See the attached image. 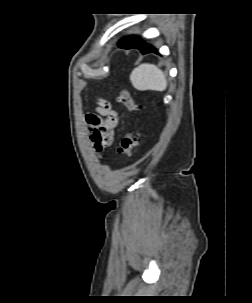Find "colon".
Listing matches in <instances>:
<instances>
[{"label": "colon", "instance_id": "colon-1", "mask_svg": "<svg viewBox=\"0 0 252 303\" xmlns=\"http://www.w3.org/2000/svg\"><path fill=\"white\" fill-rule=\"evenodd\" d=\"M119 101L125 106L129 113H134L138 109L132 93L127 89L120 90ZM137 141L138 136L132 132H127L123 136L121 152L125 157L132 158L134 156Z\"/></svg>", "mask_w": 252, "mask_h": 303}]
</instances>
